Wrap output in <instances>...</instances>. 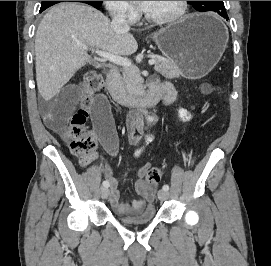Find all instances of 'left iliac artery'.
I'll return each instance as SVG.
<instances>
[{
	"mask_svg": "<svg viewBox=\"0 0 271 266\" xmlns=\"http://www.w3.org/2000/svg\"><path fill=\"white\" fill-rule=\"evenodd\" d=\"M162 189L165 190V191H168L169 190V186L167 184H165V185H163Z\"/></svg>",
	"mask_w": 271,
	"mask_h": 266,
	"instance_id": "obj_1",
	"label": "left iliac artery"
}]
</instances>
